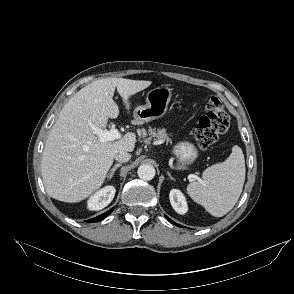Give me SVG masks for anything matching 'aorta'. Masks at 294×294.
<instances>
[{"mask_svg":"<svg viewBox=\"0 0 294 294\" xmlns=\"http://www.w3.org/2000/svg\"><path fill=\"white\" fill-rule=\"evenodd\" d=\"M138 176L142 180L149 181L152 180L155 176V168L150 164H142L138 168Z\"/></svg>","mask_w":294,"mask_h":294,"instance_id":"aorta-1","label":"aorta"}]
</instances>
